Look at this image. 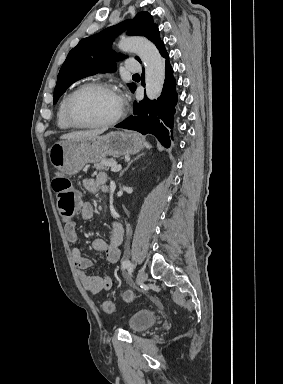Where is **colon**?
<instances>
[{"label":"colon","mask_w":283,"mask_h":384,"mask_svg":"<svg viewBox=\"0 0 283 384\" xmlns=\"http://www.w3.org/2000/svg\"><path fill=\"white\" fill-rule=\"evenodd\" d=\"M52 187L56 194L58 211L64 220L72 219L79 208V198L74 190L71 181L62 175L56 176L52 181ZM127 302L136 298L135 293L129 291L123 296ZM105 313L111 314L115 310V306L111 301H105L102 305Z\"/></svg>","instance_id":"1"}]
</instances>
